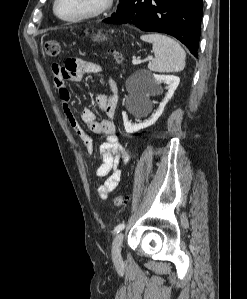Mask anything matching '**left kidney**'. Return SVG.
I'll list each match as a JSON object with an SVG mask.
<instances>
[{
	"instance_id": "5707ae66",
	"label": "left kidney",
	"mask_w": 247,
	"mask_h": 299,
	"mask_svg": "<svg viewBox=\"0 0 247 299\" xmlns=\"http://www.w3.org/2000/svg\"><path fill=\"white\" fill-rule=\"evenodd\" d=\"M180 82V78L174 75H152L147 78V91L141 94H138L135 96L134 103L132 105V108L130 111L136 115V116H141L143 115L149 106V101L148 98L151 94L155 93L159 85L161 83H165L168 85V91L160 103L158 109L151 115L150 118L147 120H144L143 122L140 123H132L131 121L128 120V117L126 115H123V122H124V128L127 133H135L141 129L147 128L151 125H153L157 119L161 116V114L164 111L165 105L171 99L173 96L176 88L178 87Z\"/></svg>"
}]
</instances>
